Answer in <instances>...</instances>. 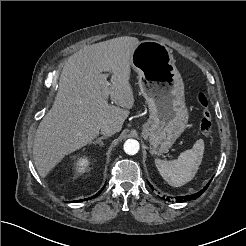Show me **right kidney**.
Segmentation results:
<instances>
[{
	"instance_id": "right-kidney-1",
	"label": "right kidney",
	"mask_w": 246,
	"mask_h": 246,
	"mask_svg": "<svg viewBox=\"0 0 246 246\" xmlns=\"http://www.w3.org/2000/svg\"><path fill=\"white\" fill-rule=\"evenodd\" d=\"M88 165H89L88 157L82 156L77 158L76 161L74 162V169L79 173H83L86 171Z\"/></svg>"
}]
</instances>
